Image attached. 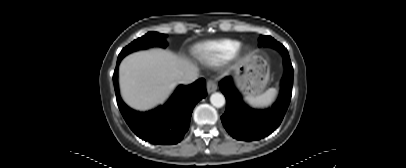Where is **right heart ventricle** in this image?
<instances>
[{
	"label": "right heart ventricle",
	"mask_w": 406,
	"mask_h": 168,
	"mask_svg": "<svg viewBox=\"0 0 406 168\" xmlns=\"http://www.w3.org/2000/svg\"><path fill=\"white\" fill-rule=\"evenodd\" d=\"M240 47L241 43L237 40L221 39L197 44L192 53L198 60L214 65L233 58Z\"/></svg>",
	"instance_id": "1"
}]
</instances>
